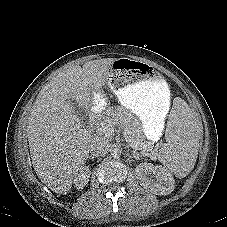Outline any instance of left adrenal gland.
I'll list each match as a JSON object with an SVG mask.
<instances>
[{
	"mask_svg": "<svg viewBox=\"0 0 227 227\" xmlns=\"http://www.w3.org/2000/svg\"><path fill=\"white\" fill-rule=\"evenodd\" d=\"M134 154H137V152L133 151Z\"/></svg>",
	"mask_w": 227,
	"mask_h": 227,
	"instance_id": "1",
	"label": "left adrenal gland"
}]
</instances>
